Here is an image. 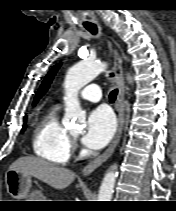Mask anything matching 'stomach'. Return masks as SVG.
Wrapping results in <instances>:
<instances>
[{
    "mask_svg": "<svg viewBox=\"0 0 176 211\" xmlns=\"http://www.w3.org/2000/svg\"><path fill=\"white\" fill-rule=\"evenodd\" d=\"M7 192L15 199L24 201H45L44 196L37 190H32V179L15 170H8L5 175Z\"/></svg>",
    "mask_w": 176,
    "mask_h": 211,
    "instance_id": "obj_1",
    "label": "stomach"
}]
</instances>
